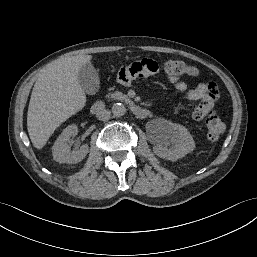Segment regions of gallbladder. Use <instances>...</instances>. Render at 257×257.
<instances>
[{
	"label": "gallbladder",
	"instance_id": "1",
	"mask_svg": "<svg viewBox=\"0 0 257 257\" xmlns=\"http://www.w3.org/2000/svg\"><path fill=\"white\" fill-rule=\"evenodd\" d=\"M81 88L89 95L96 94L100 88V80L96 69L91 63L83 65L78 74Z\"/></svg>",
	"mask_w": 257,
	"mask_h": 257
}]
</instances>
